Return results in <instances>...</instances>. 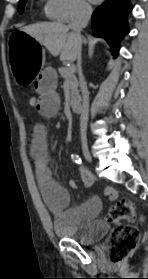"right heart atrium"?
I'll return each instance as SVG.
<instances>
[{
  "instance_id": "obj_1",
  "label": "right heart atrium",
  "mask_w": 148,
  "mask_h": 279,
  "mask_svg": "<svg viewBox=\"0 0 148 279\" xmlns=\"http://www.w3.org/2000/svg\"><path fill=\"white\" fill-rule=\"evenodd\" d=\"M45 10L49 18L68 23L86 17L90 6L85 0H47Z\"/></svg>"
}]
</instances>
